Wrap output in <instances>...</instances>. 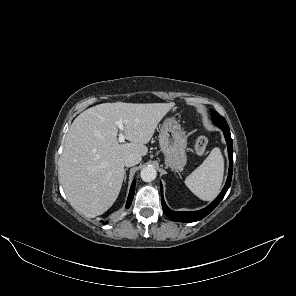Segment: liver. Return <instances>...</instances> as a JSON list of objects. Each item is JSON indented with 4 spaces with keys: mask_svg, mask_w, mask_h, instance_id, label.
Wrapping results in <instances>:
<instances>
[{
    "mask_svg": "<svg viewBox=\"0 0 296 296\" xmlns=\"http://www.w3.org/2000/svg\"><path fill=\"white\" fill-rule=\"evenodd\" d=\"M175 103H103L73 121L65 138L58 177L71 206L96 217L117 199L124 179V159L145 156L146 144ZM124 124L129 143L117 140L116 121Z\"/></svg>",
    "mask_w": 296,
    "mask_h": 296,
    "instance_id": "6515ba94",
    "label": "liver"
}]
</instances>
